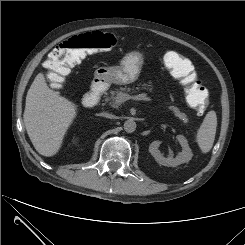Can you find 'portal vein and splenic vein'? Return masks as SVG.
<instances>
[{
  "instance_id": "obj_1",
  "label": "portal vein and splenic vein",
  "mask_w": 245,
  "mask_h": 245,
  "mask_svg": "<svg viewBox=\"0 0 245 245\" xmlns=\"http://www.w3.org/2000/svg\"><path fill=\"white\" fill-rule=\"evenodd\" d=\"M146 98V94H139L136 96H130L128 94L122 93L116 98L117 103H124L127 100H144Z\"/></svg>"
}]
</instances>
